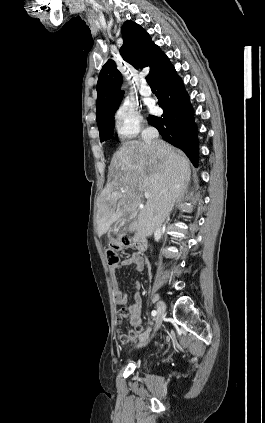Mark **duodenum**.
Returning a JSON list of instances; mask_svg holds the SVG:
<instances>
[{"mask_svg": "<svg viewBox=\"0 0 265 423\" xmlns=\"http://www.w3.org/2000/svg\"><path fill=\"white\" fill-rule=\"evenodd\" d=\"M133 241L138 251L140 252L146 251L147 243H146V240L142 236L136 234L133 238Z\"/></svg>", "mask_w": 265, "mask_h": 423, "instance_id": "obj_1", "label": "duodenum"}]
</instances>
